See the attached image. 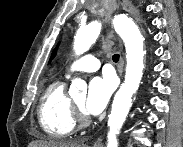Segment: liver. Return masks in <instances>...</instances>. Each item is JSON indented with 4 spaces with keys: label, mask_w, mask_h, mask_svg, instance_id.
Returning <instances> with one entry per match:
<instances>
[{
    "label": "liver",
    "mask_w": 183,
    "mask_h": 147,
    "mask_svg": "<svg viewBox=\"0 0 183 147\" xmlns=\"http://www.w3.org/2000/svg\"><path fill=\"white\" fill-rule=\"evenodd\" d=\"M28 147H85L78 142H66L58 140H36L31 142Z\"/></svg>",
    "instance_id": "1"
}]
</instances>
